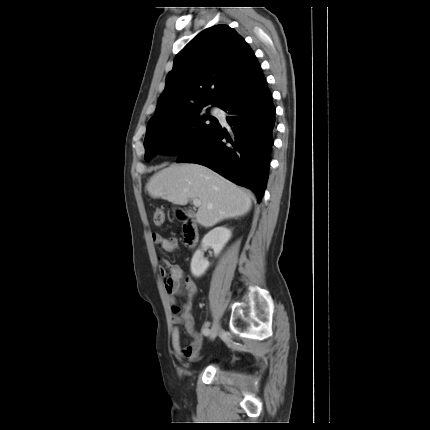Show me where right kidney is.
Wrapping results in <instances>:
<instances>
[{
  "mask_svg": "<svg viewBox=\"0 0 430 430\" xmlns=\"http://www.w3.org/2000/svg\"><path fill=\"white\" fill-rule=\"evenodd\" d=\"M231 235L232 232L228 228L224 226L216 227L203 237L201 245L202 247H211L214 251V255L217 257L231 238ZM203 254V251L198 249L191 260V273L197 278L204 275L210 266L209 261L203 257Z\"/></svg>",
  "mask_w": 430,
  "mask_h": 430,
  "instance_id": "1",
  "label": "right kidney"
}]
</instances>
